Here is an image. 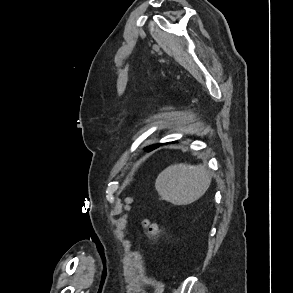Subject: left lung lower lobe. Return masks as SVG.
<instances>
[{"mask_svg": "<svg viewBox=\"0 0 293 293\" xmlns=\"http://www.w3.org/2000/svg\"><path fill=\"white\" fill-rule=\"evenodd\" d=\"M158 145H156V146H153L151 149H153V148H155V147H157ZM151 149H149V150H151Z\"/></svg>", "mask_w": 293, "mask_h": 293, "instance_id": "0a47b994", "label": "left lung lower lobe"}]
</instances>
